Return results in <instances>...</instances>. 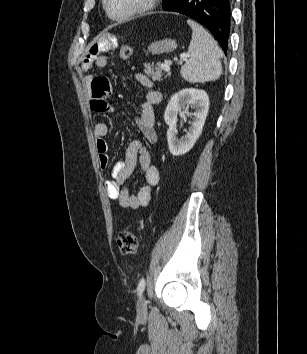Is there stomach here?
Listing matches in <instances>:
<instances>
[{
	"label": "stomach",
	"mask_w": 307,
	"mask_h": 354,
	"mask_svg": "<svg viewBox=\"0 0 307 354\" xmlns=\"http://www.w3.org/2000/svg\"><path fill=\"white\" fill-rule=\"evenodd\" d=\"M177 48V43L174 39H162L159 41L152 42L148 50L153 55H160L163 53H169L174 51Z\"/></svg>",
	"instance_id": "obj_1"
}]
</instances>
